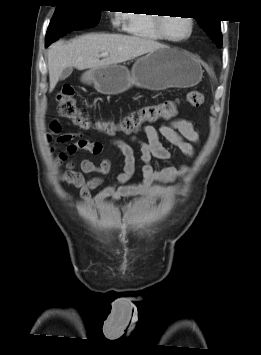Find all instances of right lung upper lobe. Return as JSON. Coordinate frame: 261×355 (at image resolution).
Segmentation results:
<instances>
[{
    "label": "right lung upper lobe",
    "instance_id": "right-lung-upper-lobe-1",
    "mask_svg": "<svg viewBox=\"0 0 261 355\" xmlns=\"http://www.w3.org/2000/svg\"><path fill=\"white\" fill-rule=\"evenodd\" d=\"M67 1H72V0H58V2L60 3L67 2Z\"/></svg>",
    "mask_w": 261,
    "mask_h": 355
}]
</instances>
